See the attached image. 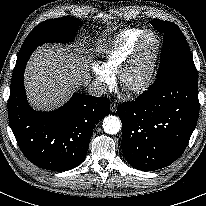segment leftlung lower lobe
<instances>
[{"mask_svg": "<svg viewBox=\"0 0 206 206\" xmlns=\"http://www.w3.org/2000/svg\"><path fill=\"white\" fill-rule=\"evenodd\" d=\"M122 152L142 171L164 168L184 152L199 115L198 82L174 78L118 107Z\"/></svg>", "mask_w": 206, "mask_h": 206, "instance_id": "left-lung-lower-lobe-1", "label": "left lung lower lobe"}]
</instances>
